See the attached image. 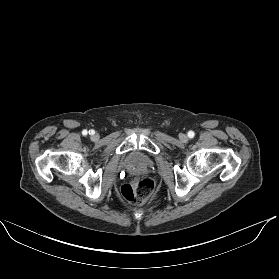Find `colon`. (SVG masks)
<instances>
[{
    "mask_svg": "<svg viewBox=\"0 0 279 279\" xmlns=\"http://www.w3.org/2000/svg\"><path fill=\"white\" fill-rule=\"evenodd\" d=\"M155 183L151 178H135L124 184L120 189V195L133 205H143L151 196Z\"/></svg>",
    "mask_w": 279,
    "mask_h": 279,
    "instance_id": "obj_1",
    "label": "colon"
}]
</instances>
